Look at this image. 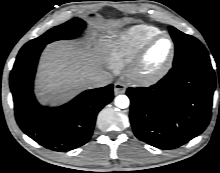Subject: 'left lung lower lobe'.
Returning a JSON list of instances; mask_svg holds the SVG:
<instances>
[{
	"instance_id": "left-lung-lower-lobe-1",
	"label": "left lung lower lobe",
	"mask_w": 220,
	"mask_h": 173,
	"mask_svg": "<svg viewBox=\"0 0 220 173\" xmlns=\"http://www.w3.org/2000/svg\"><path fill=\"white\" fill-rule=\"evenodd\" d=\"M215 84L210 60L200 59L174 65L150 88H128L136 137L168 150L201 134L210 121Z\"/></svg>"
}]
</instances>
